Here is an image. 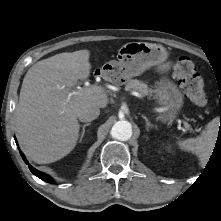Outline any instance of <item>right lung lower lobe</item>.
I'll use <instances>...</instances> for the list:
<instances>
[{"label":"right lung lower lobe","instance_id":"1","mask_svg":"<svg viewBox=\"0 0 221 221\" xmlns=\"http://www.w3.org/2000/svg\"><path fill=\"white\" fill-rule=\"evenodd\" d=\"M20 154H21L23 160L25 161V163L28 164V162H27L25 156L23 155V153H22L21 151H20ZM29 169H30V171H31L34 175H36L37 177H39V178L42 179L43 181H46V182H48V183H53V182H54V181H53V178H52L51 176H49V175H47V174H45V173H43V172H40V171L36 170L35 168H33V167L30 166V165H29Z\"/></svg>","mask_w":221,"mask_h":221}]
</instances>
